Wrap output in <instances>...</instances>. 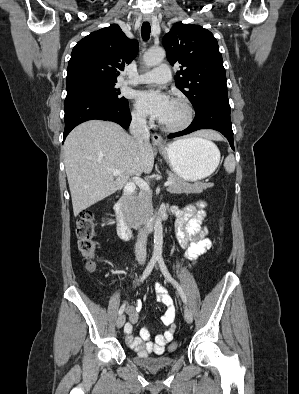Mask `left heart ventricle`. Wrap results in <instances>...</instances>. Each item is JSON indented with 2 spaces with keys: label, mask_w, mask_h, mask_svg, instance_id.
I'll use <instances>...</instances> for the list:
<instances>
[{
  "label": "left heart ventricle",
  "mask_w": 299,
  "mask_h": 394,
  "mask_svg": "<svg viewBox=\"0 0 299 394\" xmlns=\"http://www.w3.org/2000/svg\"><path fill=\"white\" fill-rule=\"evenodd\" d=\"M185 117L186 113L182 105L173 101L168 114L162 122L168 125H175L181 123Z\"/></svg>",
  "instance_id": "b2bd125f"
}]
</instances>
